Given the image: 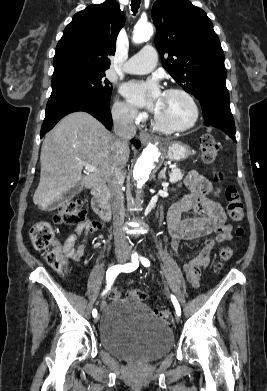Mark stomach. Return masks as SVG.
Masks as SVG:
<instances>
[{"mask_svg": "<svg viewBox=\"0 0 267 391\" xmlns=\"http://www.w3.org/2000/svg\"><path fill=\"white\" fill-rule=\"evenodd\" d=\"M191 155L190 147L180 142L169 144L167 149V158L172 161H183Z\"/></svg>", "mask_w": 267, "mask_h": 391, "instance_id": "0dacf381", "label": "stomach"}]
</instances>
